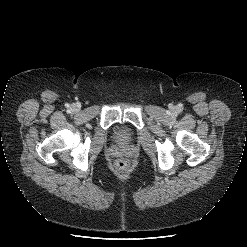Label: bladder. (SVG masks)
<instances>
[{
    "mask_svg": "<svg viewBox=\"0 0 247 247\" xmlns=\"http://www.w3.org/2000/svg\"><path fill=\"white\" fill-rule=\"evenodd\" d=\"M114 137L118 142L125 143L132 139L133 133L128 127L120 125L115 128Z\"/></svg>",
    "mask_w": 247,
    "mask_h": 247,
    "instance_id": "1",
    "label": "bladder"
}]
</instances>
